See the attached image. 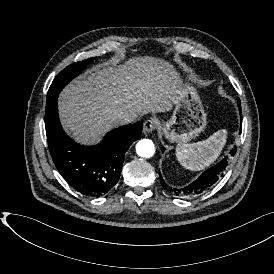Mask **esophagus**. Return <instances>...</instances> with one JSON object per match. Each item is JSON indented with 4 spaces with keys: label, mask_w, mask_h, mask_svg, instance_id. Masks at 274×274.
Masks as SVG:
<instances>
[{
    "label": "esophagus",
    "mask_w": 274,
    "mask_h": 274,
    "mask_svg": "<svg viewBox=\"0 0 274 274\" xmlns=\"http://www.w3.org/2000/svg\"><path fill=\"white\" fill-rule=\"evenodd\" d=\"M157 125V121L153 118L146 120L143 125V131L145 134L151 133Z\"/></svg>",
    "instance_id": "1"
}]
</instances>
